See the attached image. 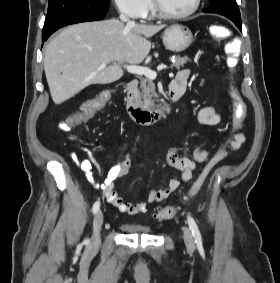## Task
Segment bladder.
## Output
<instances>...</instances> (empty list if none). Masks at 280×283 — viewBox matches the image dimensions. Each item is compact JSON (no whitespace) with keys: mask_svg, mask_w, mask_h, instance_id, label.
<instances>
[{"mask_svg":"<svg viewBox=\"0 0 280 283\" xmlns=\"http://www.w3.org/2000/svg\"><path fill=\"white\" fill-rule=\"evenodd\" d=\"M120 229L128 234H138V235L151 234V230H152L150 226L131 224V223L120 224Z\"/></svg>","mask_w":280,"mask_h":283,"instance_id":"bladder-1","label":"bladder"}]
</instances>
